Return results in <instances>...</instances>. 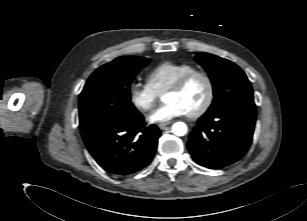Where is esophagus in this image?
<instances>
[{"label":"esophagus","mask_w":307,"mask_h":221,"mask_svg":"<svg viewBox=\"0 0 307 221\" xmlns=\"http://www.w3.org/2000/svg\"><path fill=\"white\" fill-rule=\"evenodd\" d=\"M169 125H170V122H167V123H160V124L158 125V127H159L161 130H164V129H166V127L169 126Z\"/></svg>","instance_id":"obj_1"}]
</instances>
